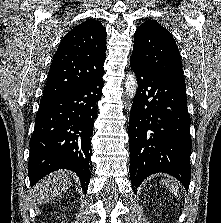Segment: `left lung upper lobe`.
Segmentation results:
<instances>
[{"label":"left lung upper lobe","mask_w":221,"mask_h":223,"mask_svg":"<svg viewBox=\"0 0 221 223\" xmlns=\"http://www.w3.org/2000/svg\"><path fill=\"white\" fill-rule=\"evenodd\" d=\"M130 60L156 74L185 82L176 42L155 20H148L137 28Z\"/></svg>","instance_id":"obj_1"}]
</instances>
